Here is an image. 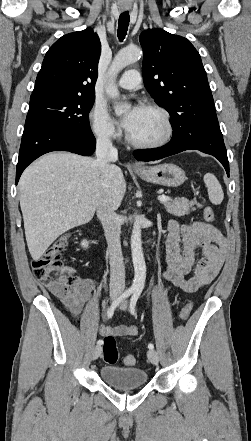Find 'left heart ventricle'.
Listing matches in <instances>:
<instances>
[{"label": "left heart ventricle", "instance_id": "b2bd125f", "mask_svg": "<svg viewBox=\"0 0 251 441\" xmlns=\"http://www.w3.org/2000/svg\"><path fill=\"white\" fill-rule=\"evenodd\" d=\"M166 127L160 113L141 108L134 126L129 130L131 136L141 142H152L163 137Z\"/></svg>", "mask_w": 251, "mask_h": 441}]
</instances>
